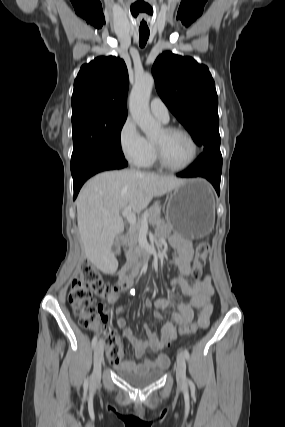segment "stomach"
Listing matches in <instances>:
<instances>
[{
    "instance_id": "stomach-1",
    "label": "stomach",
    "mask_w": 285,
    "mask_h": 427,
    "mask_svg": "<svg viewBox=\"0 0 285 427\" xmlns=\"http://www.w3.org/2000/svg\"><path fill=\"white\" fill-rule=\"evenodd\" d=\"M214 214L215 200L210 185L201 178L189 179L171 193L166 221L174 233L199 239L212 231Z\"/></svg>"
}]
</instances>
